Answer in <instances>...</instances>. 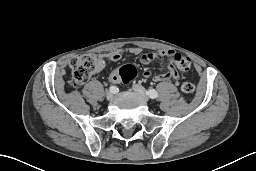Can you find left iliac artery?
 Listing matches in <instances>:
<instances>
[{
  "mask_svg": "<svg viewBox=\"0 0 256 171\" xmlns=\"http://www.w3.org/2000/svg\"><path fill=\"white\" fill-rule=\"evenodd\" d=\"M147 95H148L150 98H152V99H155V98L158 97V93H157V91L154 90V89H149V90L147 91Z\"/></svg>",
  "mask_w": 256,
  "mask_h": 171,
  "instance_id": "44dca946",
  "label": "left iliac artery"
}]
</instances>
